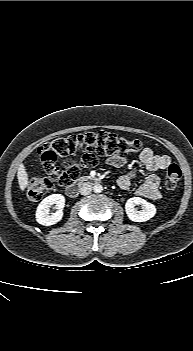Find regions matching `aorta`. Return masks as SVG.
Masks as SVG:
<instances>
[{
  "mask_svg": "<svg viewBox=\"0 0 193 351\" xmlns=\"http://www.w3.org/2000/svg\"><path fill=\"white\" fill-rule=\"evenodd\" d=\"M93 190L95 193H101L103 190V187L101 184H96V185H94Z\"/></svg>",
  "mask_w": 193,
  "mask_h": 351,
  "instance_id": "762f6f07",
  "label": "aorta"
}]
</instances>
